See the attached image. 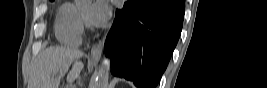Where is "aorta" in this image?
<instances>
[{"instance_id":"obj_1","label":"aorta","mask_w":267,"mask_h":88,"mask_svg":"<svg viewBox=\"0 0 267 88\" xmlns=\"http://www.w3.org/2000/svg\"><path fill=\"white\" fill-rule=\"evenodd\" d=\"M77 4L89 3L90 0H75ZM110 58H104L99 66L97 76L91 85V88H106L109 80Z\"/></svg>"}]
</instances>
